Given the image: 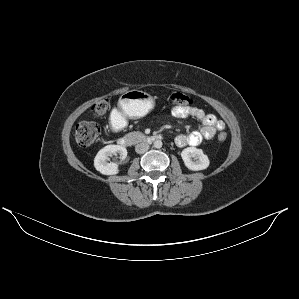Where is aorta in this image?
I'll use <instances>...</instances> for the list:
<instances>
[{
    "instance_id": "762f6f07",
    "label": "aorta",
    "mask_w": 299,
    "mask_h": 299,
    "mask_svg": "<svg viewBox=\"0 0 299 299\" xmlns=\"http://www.w3.org/2000/svg\"><path fill=\"white\" fill-rule=\"evenodd\" d=\"M154 147L159 149L162 147V141L161 140H155L154 143H153Z\"/></svg>"
}]
</instances>
